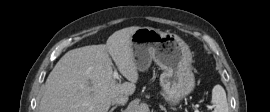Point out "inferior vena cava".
I'll list each match as a JSON object with an SVG mask.
<instances>
[{
	"mask_svg": "<svg viewBox=\"0 0 270 112\" xmlns=\"http://www.w3.org/2000/svg\"><path fill=\"white\" fill-rule=\"evenodd\" d=\"M128 101V97L127 96H117L115 98L112 99V104H125Z\"/></svg>",
	"mask_w": 270,
	"mask_h": 112,
	"instance_id": "1",
	"label": "inferior vena cava"
}]
</instances>
